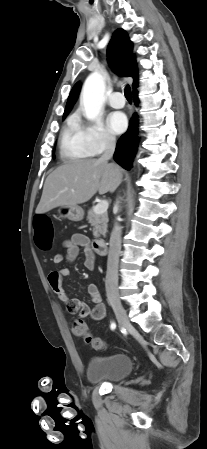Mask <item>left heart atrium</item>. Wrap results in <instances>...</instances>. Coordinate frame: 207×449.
Segmentation results:
<instances>
[{
	"mask_svg": "<svg viewBox=\"0 0 207 449\" xmlns=\"http://www.w3.org/2000/svg\"><path fill=\"white\" fill-rule=\"evenodd\" d=\"M109 129L115 134L124 132L127 128V118L122 112H113L107 119Z\"/></svg>",
	"mask_w": 207,
	"mask_h": 449,
	"instance_id": "1",
	"label": "left heart atrium"
}]
</instances>
